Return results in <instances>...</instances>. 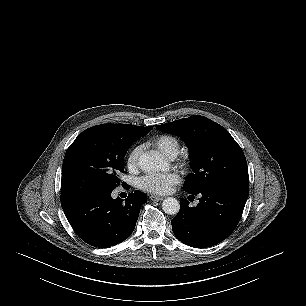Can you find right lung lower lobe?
Listing matches in <instances>:
<instances>
[{"label":"right lung lower lobe","instance_id":"1","mask_svg":"<svg viewBox=\"0 0 306 306\" xmlns=\"http://www.w3.org/2000/svg\"><path fill=\"white\" fill-rule=\"evenodd\" d=\"M112 190L96 191L61 203L76 234L86 243L106 248L127 239L135 228L141 206L147 197L130 193L123 202L111 197Z\"/></svg>","mask_w":306,"mask_h":306}]
</instances>
